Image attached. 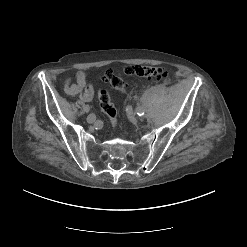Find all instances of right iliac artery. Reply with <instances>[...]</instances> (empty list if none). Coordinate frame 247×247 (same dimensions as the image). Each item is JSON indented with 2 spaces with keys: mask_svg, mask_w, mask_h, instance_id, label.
<instances>
[{
  "mask_svg": "<svg viewBox=\"0 0 247 247\" xmlns=\"http://www.w3.org/2000/svg\"><path fill=\"white\" fill-rule=\"evenodd\" d=\"M82 108H83V110H84L85 112H88L89 109H90L89 105H87V104L83 105Z\"/></svg>",
  "mask_w": 247,
  "mask_h": 247,
  "instance_id": "82829eb1",
  "label": "right iliac artery"
}]
</instances>
